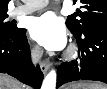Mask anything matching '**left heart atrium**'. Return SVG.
<instances>
[{"label":"left heart atrium","instance_id":"39dd6f15","mask_svg":"<svg viewBox=\"0 0 107 89\" xmlns=\"http://www.w3.org/2000/svg\"><path fill=\"white\" fill-rule=\"evenodd\" d=\"M30 35L48 50H61L67 42L64 25L53 12H46L33 18Z\"/></svg>","mask_w":107,"mask_h":89}]
</instances>
